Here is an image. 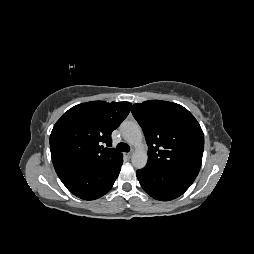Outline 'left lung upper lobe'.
<instances>
[{
    "label": "left lung upper lobe",
    "instance_id": "1",
    "mask_svg": "<svg viewBox=\"0 0 254 254\" xmlns=\"http://www.w3.org/2000/svg\"><path fill=\"white\" fill-rule=\"evenodd\" d=\"M131 111L149 146L148 164L163 170L198 175L204 134L186 108L168 101L149 100L134 104Z\"/></svg>",
    "mask_w": 254,
    "mask_h": 254
}]
</instances>
